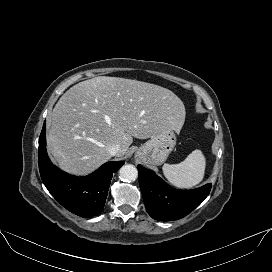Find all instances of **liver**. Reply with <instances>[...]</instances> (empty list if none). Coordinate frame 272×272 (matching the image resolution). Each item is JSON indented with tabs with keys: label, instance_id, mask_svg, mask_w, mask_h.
Instances as JSON below:
<instances>
[{
	"label": "liver",
	"instance_id": "obj_1",
	"mask_svg": "<svg viewBox=\"0 0 272 272\" xmlns=\"http://www.w3.org/2000/svg\"><path fill=\"white\" fill-rule=\"evenodd\" d=\"M181 99L142 81L99 76L72 86L58 100L47 130L51 158L62 170L85 175L112 157H123L137 139L165 128L179 132L185 121Z\"/></svg>",
	"mask_w": 272,
	"mask_h": 272
}]
</instances>
